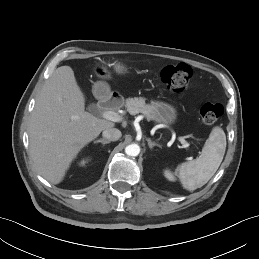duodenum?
Listing matches in <instances>:
<instances>
[{
  "mask_svg": "<svg viewBox=\"0 0 259 259\" xmlns=\"http://www.w3.org/2000/svg\"><path fill=\"white\" fill-rule=\"evenodd\" d=\"M98 104L101 107L116 108L121 105V99L118 93H113L112 95L102 97Z\"/></svg>",
  "mask_w": 259,
  "mask_h": 259,
  "instance_id": "1",
  "label": "duodenum"
}]
</instances>
